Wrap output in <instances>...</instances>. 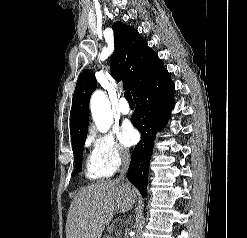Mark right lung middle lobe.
Masks as SVG:
<instances>
[{"instance_id":"dd1d6c3e","label":"right lung middle lobe","mask_w":247,"mask_h":238,"mask_svg":"<svg viewBox=\"0 0 247 238\" xmlns=\"http://www.w3.org/2000/svg\"><path fill=\"white\" fill-rule=\"evenodd\" d=\"M86 137L80 139L76 143L72 144L73 153H74V159H75V165H76V171L80 172L82 169V154H83V147L85 143Z\"/></svg>"}]
</instances>
